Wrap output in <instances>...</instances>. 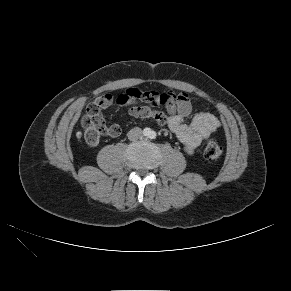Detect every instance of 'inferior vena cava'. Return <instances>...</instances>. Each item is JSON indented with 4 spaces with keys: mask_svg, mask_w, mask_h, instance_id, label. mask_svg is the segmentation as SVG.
Here are the masks:
<instances>
[{
    "mask_svg": "<svg viewBox=\"0 0 291 291\" xmlns=\"http://www.w3.org/2000/svg\"><path fill=\"white\" fill-rule=\"evenodd\" d=\"M141 137H142V130L139 127L132 128L128 132V139L131 141L138 140Z\"/></svg>",
    "mask_w": 291,
    "mask_h": 291,
    "instance_id": "inferior-vena-cava-1",
    "label": "inferior vena cava"
}]
</instances>
